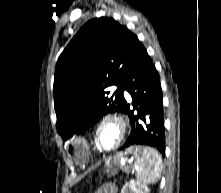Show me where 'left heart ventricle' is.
Here are the masks:
<instances>
[{
    "mask_svg": "<svg viewBox=\"0 0 221 193\" xmlns=\"http://www.w3.org/2000/svg\"><path fill=\"white\" fill-rule=\"evenodd\" d=\"M118 138V129L113 123H106L99 132V143L103 148L112 147Z\"/></svg>",
    "mask_w": 221,
    "mask_h": 193,
    "instance_id": "1",
    "label": "left heart ventricle"
}]
</instances>
